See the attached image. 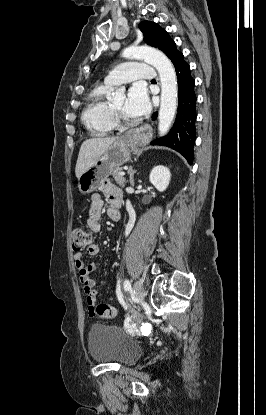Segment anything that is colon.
<instances>
[{
	"instance_id": "colon-1",
	"label": "colon",
	"mask_w": 266,
	"mask_h": 415,
	"mask_svg": "<svg viewBox=\"0 0 266 415\" xmlns=\"http://www.w3.org/2000/svg\"><path fill=\"white\" fill-rule=\"evenodd\" d=\"M92 239V234L89 229L84 226L76 227L72 234V248L74 251H81L86 248ZM92 316L111 319L116 316V310L113 306L101 303L95 306L91 312Z\"/></svg>"
}]
</instances>
